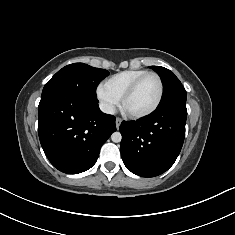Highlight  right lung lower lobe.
Here are the masks:
<instances>
[{
    "label": "right lung lower lobe",
    "mask_w": 235,
    "mask_h": 235,
    "mask_svg": "<svg viewBox=\"0 0 235 235\" xmlns=\"http://www.w3.org/2000/svg\"><path fill=\"white\" fill-rule=\"evenodd\" d=\"M38 134L52 165L67 174L90 169L101 146L116 130L112 115L103 113L98 100L69 93L41 97Z\"/></svg>",
    "instance_id": "1"
}]
</instances>
